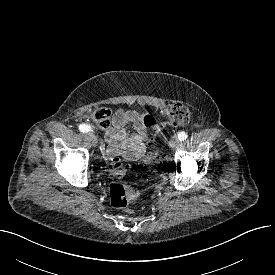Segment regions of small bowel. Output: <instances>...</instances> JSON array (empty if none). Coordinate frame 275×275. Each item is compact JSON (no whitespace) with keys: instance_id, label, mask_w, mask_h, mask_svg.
<instances>
[{"instance_id":"c3829d8e","label":"small bowel","mask_w":275,"mask_h":275,"mask_svg":"<svg viewBox=\"0 0 275 275\" xmlns=\"http://www.w3.org/2000/svg\"><path fill=\"white\" fill-rule=\"evenodd\" d=\"M150 117L147 113L118 109L112 118V126L105 133L106 155L111 160L119 156L128 159L140 156L147 138L146 119ZM129 125L134 129L132 134L128 131Z\"/></svg>"}]
</instances>
